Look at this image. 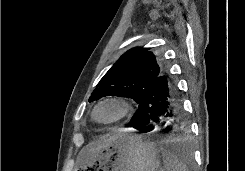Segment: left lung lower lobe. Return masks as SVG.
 Here are the masks:
<instances>
[{
	"instance_id": "left-lung-lower-lobe-1",
	"label": "left lung lower lobe",
	"mask_w": 245,
	"mask_h": 171,
	"mask_svg": "<svg viewBox=\"0 0 245 171\" xmlns=\"http://www.w3.org/2000/svg\"><path fill=\"white\" fill-rule=\"evenodd\" d=\"M139 109L128 126L147 133L157 125L185 126V117L175 83L162 73L142 92L138 102Z\"/></svg>"
}]
</instances>
